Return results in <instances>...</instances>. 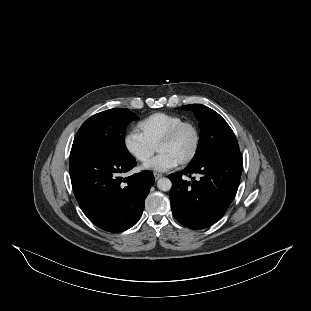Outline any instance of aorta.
Segmentation results:
<instances>
[{"label":"aorta","mask_w":311,"mask_h":311,"mask_svg":"<svg viewBox=\"0 0 311 311\" xmlns=\"http://www.w3.org/2000/svg\"><path fill=\"white\" fill-rule=\"evenodd\" d=\"M157 186L161 191H169L172 187V182L169 178H160L157 182Z\"/></svg>","instance_id":"1"}]
</instances>
